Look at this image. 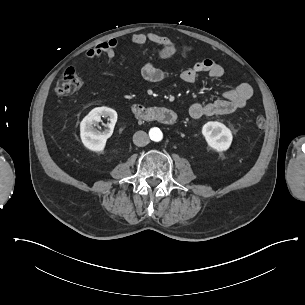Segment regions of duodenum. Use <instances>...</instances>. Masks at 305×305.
I'll return each mask as SVG.
<instances>
[{"instance_id":"1","label":"duodenum","mask_w":305,"mask_h":305,"mask_svg":"<svg viewBox=\"0 0 305 305\" xmlns=\"http://www.w3.org/2000/svg\"><path fill=\"white\" fill-rule=\"evenodd\" d=\"M131 110L139 120L166 126L174 124L177 119L175 112L164 106H147L136 103L131 106Z\"/></svg>"}]
</instances>
